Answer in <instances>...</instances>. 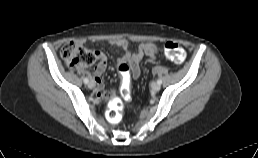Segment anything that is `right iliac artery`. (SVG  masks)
I'll return each instance as SVG.
<instances>
[{"mask_svg": "<svg viewBox=\"0 0 258 158\" xmlns=\"http://www.w3.org/2000/svg\"><path fill=\"white\" fill-rule=\"evenodd\" d=\"M89 82V80L87 79V78H84V83H88Z\"/></svg>", "mask_w": 258, "mask_h": 158, "instance_id": "1", "label": "right iliac artery"}]
</instances>
